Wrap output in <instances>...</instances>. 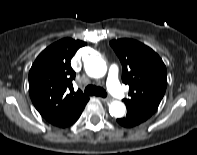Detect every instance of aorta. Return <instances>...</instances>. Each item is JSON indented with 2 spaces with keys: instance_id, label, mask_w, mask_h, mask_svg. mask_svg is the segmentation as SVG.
Wrapping results in <instances>:
<instances>
[{
  "instance_id": "obj_1",
  "label": "aorta",
  "mask_w": 197,
  "mask_h": 155,
  "mask_svg": "<svg viewBox=\"0 0 197 155\" xmlns=\"http://www.w3.org/2000/svg\"><path fill=\"white\" fill-rule=\"evenodd\" d=\"M84 68L88 76L100 78L106 73V63L98 56H90L84 62ZM126 107L120 101H113L109 105V113L111 116L120 118L125 114Z\"/></svg>"
}]
</instances>
